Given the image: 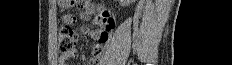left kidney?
Here are the masks:
<instances>
[{
  "label": "left kidney",
  "mask_w": 232,
  "mask_h": 65,
  "mask_svg": "<svg viewBox=\"0 0 232 65\" xmlns=\"http://www.w3.org/2000/svg\"><path fill=\"white\" fill-rule=\"evenodd\" d=\"M134 0H120L121 6H127L130 5Z\"/></svg>",
  "instance_id": "5707ae66"
}]
</instances>
